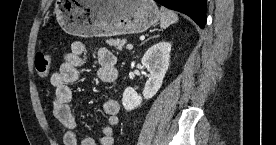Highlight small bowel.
Listing matches in <instances>:
<instances>
[{
  "instance_id": "1",
  "label": "small bowel",
  "mask_w": 276,
  "mask_h": 145,
  "mask_svg": "<svg viewBox=\"0 0 276 145\" xmlns=\"http://www.w3.org/2000/svg\"><path fill=\"white\" fill-rule=\"evenodd\" d=\"M86 45L81 41H74L70 51L64 55V61L59 69L50 77V83L55 88L53 99V113L63 128L64 145H78V124L70 106L73 90L70 84L79 78V70L84 65ZM99 63L98 78L101 82L110 84L117 78V57L107 48L97 51ZM103 111L107 115V124L101 129L96 142L93 138L84 136L80 145H113V128L119 124V103L108 97L103 101Z\"/></svg>"
}]
</instances>
